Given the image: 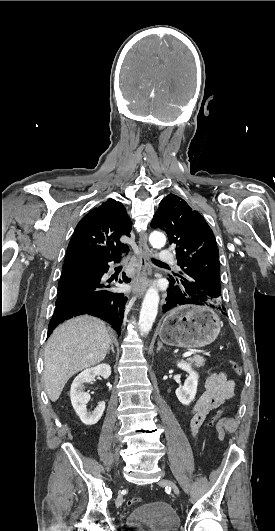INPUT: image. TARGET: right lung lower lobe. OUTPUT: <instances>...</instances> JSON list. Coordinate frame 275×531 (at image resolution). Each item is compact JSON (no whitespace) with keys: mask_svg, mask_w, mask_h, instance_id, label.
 <instances>
[{"mask_svg":"<svg viewBox=\"0 0 275 531\" xmlns=\"http://www.w3.org/2000/svg\"><path fill=\"white\" fill-rule=\"evenodd\" d=\"M123 252H128V248L105 258L64 264L48 336L59 323L84 314L98 317L110 323L118 333L121 332L127 298L121 293L111 291V286L102 281V276L109 270L108 263L119 262ZM119 282L128 283L130 279L123 273Z\"/></svg>","mask_w":275,"mask_h":531,"instance_id":"right-lung-lower-lobe-1","label":"right lung lower lobe"}]
</instances>
